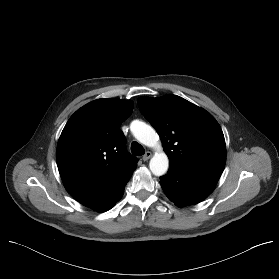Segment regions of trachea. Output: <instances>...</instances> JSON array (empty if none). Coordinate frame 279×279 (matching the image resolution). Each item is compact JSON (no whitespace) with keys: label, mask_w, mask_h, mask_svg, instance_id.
<instances>
[{"label":"trachea","mask_w":279,"mask_h":279,"mask_svg":"<svg viewBox=\"0 0 279 279\" xmlns=\"http://www.w3.org/2000/svg\"><path fill=\"white\" fill-rule=\"evenodd\" d=\"M131 152L133 155L141 156L145 153V150L142 145H140L138 142L134 141L131 144Z\"/></svg>","instance_id":"3493384b"}]
</instances>
